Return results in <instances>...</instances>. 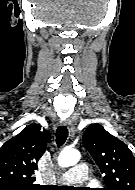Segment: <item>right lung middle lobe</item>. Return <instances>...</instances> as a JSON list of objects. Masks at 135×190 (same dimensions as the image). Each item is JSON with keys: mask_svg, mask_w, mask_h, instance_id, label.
I'll return each mask as SVG.
<instances>
[{"mask_svg": "<svg viewBox=\"0 0 135 190\" xmlns=\"http://www.w3.org/2000/svg\"><path fill=\"white\" fill-rule=\"evenodd\" d=\"M0 190H39V188H33V187H16V186H0Z\"/></svg>", "mask_w": 135, "mask_h": 190, "instance_id": "right-lung-middle-lobe-1", "label": "right lung middle lobe"}]
</instances>
